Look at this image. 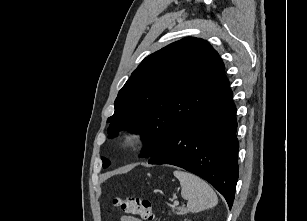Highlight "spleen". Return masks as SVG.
Returning <instances> with one entry per match:
<instances>
[{
	"mask_svg": "<svg viewBox=\"0 0 307 221\" xmlns=\"http://www.w3.org/2000/svg\"><path fill=\"white\" fill-rule=\"evenodd\" d=\"M174 176L181 184V196L186 199L189 212L213 208L218 203L214 190L204 180L189 172L175 170Z\"/></svg>",
	"mask_w": 307,
	"mask_h": 221,
	"instance_id": "1",
	"label": "spleen"
}]
</instances>
